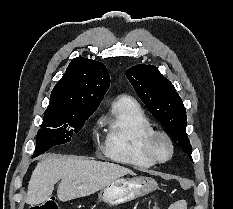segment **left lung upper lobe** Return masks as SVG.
<instances>
[{
    "label": "left lung upper lobe",
    "instance_id": "obj_1",
    "mask_svg": "<svg viewBox=\"0 0 233 209\" xmlns=\"http://www.w3.org/2000/svg\"><path fill=\"white\" fill-rule=\"evenodd\" d=\"M126 76L150 113L171 132L192 161L186 108L172 83L153 65H135L126 71Z\"/></svg>",
    "mask_w": 233,
    "mask_h": 209
}]
</instances>
